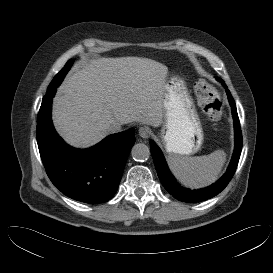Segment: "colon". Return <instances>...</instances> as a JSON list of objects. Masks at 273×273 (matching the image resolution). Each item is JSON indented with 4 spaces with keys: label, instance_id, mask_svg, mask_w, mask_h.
Here are the masks:
<instances>
[{
    "label": "colon",
    "instance_id": "1",
    "mask_svg": "<svg viewBox=\"0 0 273 273\" xmlns=\"http://www.w3.org/2000/svg\"><path fill=\"white\" fill-rule=\"evenodd\" d=\"M195 93L207 119L214 123L219 122L223 117V110L215 87L206 81H198L195 85Z\"/></svg>",
    "mask_w": 273,
    "mask_h": 273
}]
</instances>
